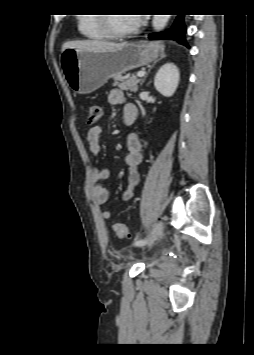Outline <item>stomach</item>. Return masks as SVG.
Masks as SVG:
<instances>
[{
    "label": "stomach",
    "instance_id": "1",
    "mask_svg": "<svg viewBox=\"0 0 254 355\" xmlns=\"http://www.w3.org/2000/svg\"><path fill=\"white\" fill-rule=\"evenodd\" d=\"M163 52L161 42H130L102 51L67 48L60 55V64L71 89L78 94H89L108 79L153 62Z\"/></svg>",
    "mask_w": 254,
    "mask_h": 355
}]
</instances>
